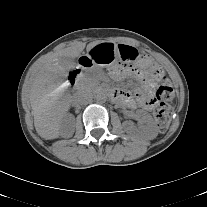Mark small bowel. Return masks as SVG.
Here are the masks:
<instances>
[{"label": "small bowel", "instance_id": "obj_1", "mask_svg": "<svg viewBox=\"0 0 207 207\" xmlns=\"http://www.w3.org/2000/svg\"><path fill=\"white\" fill-rule=\"evenodd\" d=\"M146 64L151 66L152 63L147 60ZM112 77L116 80H121L127 75H134L140 83V88L136 92L135 98L129 93L116 91V99L127 107L135 108L139 106L143 109L150 110L154 106L153 91L156 83L164 77L163 71L157 76H154L142 68L119 69L115 68L111 72Z\"/></svg>", "mask_w": 207, "mask_h": 207}]
</instances>
